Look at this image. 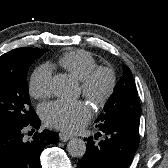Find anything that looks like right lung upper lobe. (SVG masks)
I'll return each mask as SVG.
<instances>
[{"label":"right lung upper lobe","instance_id":"cb5924a9","mask_svg":"<svg viewBox=\"0 0 168 168\" xmlns=\"http://www.w3.org/2000/svg\"><path fill=\"white\" fill-rule=\"evenodd\" d=\"M19 49H20V48L14 49V50H12V51H10V52H8V53H5V54H3L2 56H0V64H3V63H5V62L11 60V59L14 57L15 53H16Z\"/></svg>","mask_w":168,"mask_h":168}]
</instances>
